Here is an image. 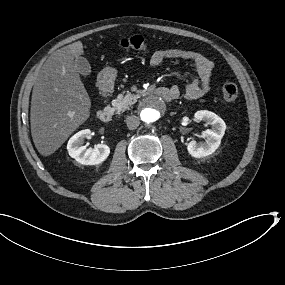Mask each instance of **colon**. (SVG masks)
Returning a JSON list of instances; mask_svg holds the SVG:
<instances>
[{"label": "colon", "instance_id": "obj_1", "mask_svg": "<svg viewBox=\"0 0 285 285\" xmlns=\"http://www.w3.org/2000/svg\"><path fill=\"white\" fill-rule=\"evenodd\" d=\"M119 46L126 50H146L147 41L141 35L124 37L119 41ZM238 97V86L234 82H227L222 86L221 98L225 102H232Z\"/></svg>", "mask_w": 285, "mask_h": 285}]
</instances>
